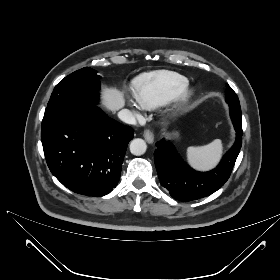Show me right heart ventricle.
<instances>
[{
	"label": "right heart ventricle",
	"instance_id": "right-heart-ventricle-1",
	"mask_svg": "<svg viewBox=\"0 0 280 280\" xmlns=\"http://www.w3.org/2000/svg\"><path fill=\"white\" fill-rule=\"evenodd\" d=\"M188 85V79L174 71L144 73L134 81L135 96L141 106L154 109L166 103Z\"/></svg>",
	"mask_w": 280,
	"mask_h": 280
}]
</instances>
